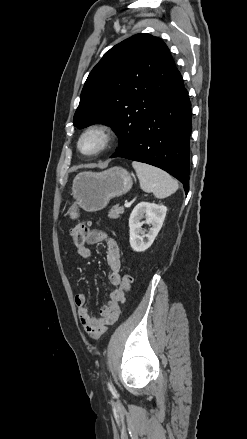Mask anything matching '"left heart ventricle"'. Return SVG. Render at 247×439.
Masks as SVG:
<instances>
[{
  "label": "left heart ventricle",
  "instance_id": "obj_1",
  "mask_svg": "<svg viewBox=\"0 0 247 439\" xmlns=\"http://www.w3.org/2000/svg\"><path fill=\"white\" fill-rule=\"evenodd\" d=\"M101 144V137L98 134H89L82 141V149L91 152L97 149Z\"/></svg>",
  "mask_w": 247,
  "mask_h": 439
}]
</instances>
